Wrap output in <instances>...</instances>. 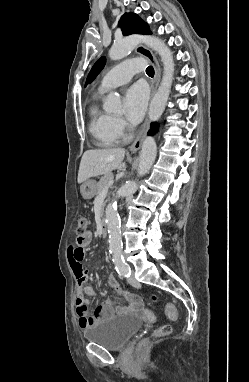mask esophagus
I'll return each mask as SVG.
<instances>
[{"label":"esophagus","instance_id":"34e87169","mask_svg":"<svg viewBox=\"0 0 249 382\" xmlns=\"http://www.w3.org/2000/svg\"><path fill=\"white\" fill-rule=\"evenodd\" d=\"M135 51L139 55L146 58L152 64V66L154 68L155 75H154V78H153L152 83H151V96H153L155 94L157 87L159 85V82H160L161 68H160L159 62H158L156 56L153 54V52L144 45H138L136 47ZM148 127H149V120L147 118L145 120L140 132L136 136L134 142L129 147V149L132 153L137 152L141 148V145H142V142H143V139H144V136L147 132Z\"/></svg>","mask_w":249,"mask_h":382}]
</instances>
